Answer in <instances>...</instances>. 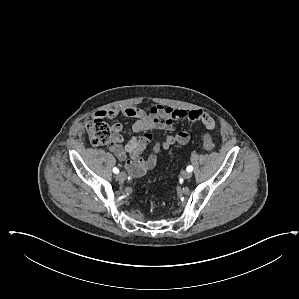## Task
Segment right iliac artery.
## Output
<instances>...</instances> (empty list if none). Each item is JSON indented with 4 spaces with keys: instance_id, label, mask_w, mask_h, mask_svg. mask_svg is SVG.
Segmentation results:
<instances>
[{
    "instance_id": "82829eb1",
    "label": "right iliac artery",
    "mask_w": 299,
    "mask_h": 299,
    "mask_svg": "<svg viewBox=\"0 0 299 299\" xmlns=\"http://www.w3.org/2000/svg\"><path fill=\"white\" fill-rule=\"evenodd\" d=\"M113 172L115 173V174H117V173H119V169L118 168H113Z\"/></svg>"
}]
</instances>
